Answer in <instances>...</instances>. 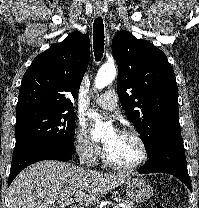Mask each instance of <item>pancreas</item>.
Returning a JSON list of instances; mask_svg holds the SVG:
<instances>
[{"label":"pancreas","mask_w":199,"mask_h":208,"mask_svg":"<svg viewBox=\"0 0 199 208\" xmlns=\"http://www.w3.org/2000/svg\"><path fill=\"white\" fill-rule=\"evenodd\" d=\"M122 204H124V208H134L132 201L122 200Z\"/></svg>","instance_id":"cf45deb5"}]
</instances>
